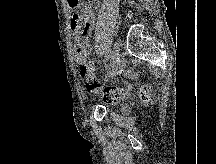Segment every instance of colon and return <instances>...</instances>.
I'll return each mask as SVG.
<instances>
[{
	"label": "colon",
	"instance_id": "obj_1",
	"mask_svg": "<svg viewBox=\"0 0 216 164\" xmlns=\"http://www.w3.org/2000/svg\"><path fill=\"white\" fill-rule=\"evenodd\" d=\"M81 75L86 81L87 90L91 93L101 92L103 100L109 104H115L121 100L127 99L131 94L130 90L118 86H108L104 89H101L99 80L97 79L95 73L88 67H83L81 69ZM151 91L152 89L150 86H141L139 88L140 98L143 101L149 100Z\"/></svg>",
	"mask_w": 216,
	"mask_h": 164
}]
</instances>
